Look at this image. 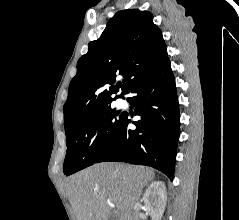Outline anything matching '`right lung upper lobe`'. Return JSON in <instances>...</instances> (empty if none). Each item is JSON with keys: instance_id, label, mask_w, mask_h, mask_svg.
<instances>
[{"instance_id": "obj_1", "label": "right lung upper lobe", "mask_w": 239, "mask_h": 220, "mask_svg": "<svg viewBox=\"0 0 239 220\" xmlns=\"http://www.w3.org/2000/svg\"><path fill=\"white\" fill-rule=\"evenodd\" d=\"M168 59L161 30L153 15L139 9L119 11L109 20L101 37L88 44V52L77 63L63 107L67 130L85 114L127 94L142 78ZM126 83L115 85L116 76ZM122 89L120 96L112 94Z\"/></svg>"}]
</instances>
